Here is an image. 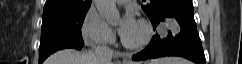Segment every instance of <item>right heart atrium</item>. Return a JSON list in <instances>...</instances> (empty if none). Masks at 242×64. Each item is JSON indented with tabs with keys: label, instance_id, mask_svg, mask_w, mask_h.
<instances>
[{
	"label": "right heart atrium",
	"instance_id": "1",
	"mask_svg": "<svg viewBox=\"0 0 242 64\" xmlns=\"http://www.w3.org/2000/svg\"><path fill=\"white\" fill-rule=\"evenodd\" d=\"M80 32L83 40L91 45H109L114 41L111 27L94 8L86 12Z\"/></svg>",
	"mask_w": 242,
	"mask_h": 64
}]
</instances>
